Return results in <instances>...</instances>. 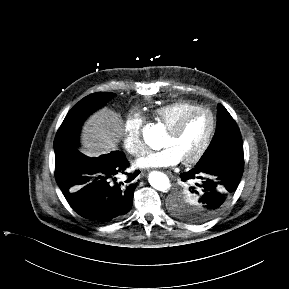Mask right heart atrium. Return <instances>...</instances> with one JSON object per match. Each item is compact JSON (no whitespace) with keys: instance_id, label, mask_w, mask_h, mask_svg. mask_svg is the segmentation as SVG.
<instances>
[{"instance_id":"d8ad5b80","label":"right heart atrium","mask_w":289,"mask_h":289,"mask_svg":"<svg viewBox=\"0 0 289 289\" xmlns=\"http://www.w3.org/2000/svg\"><path fill=\"white\" fill-rule=\"evenodd\" d=\"M145 119L138 112L127 115L123 125V146L134 157H139L146 152V146L142 138V130Z\"/></svg>"}]
</instances>
